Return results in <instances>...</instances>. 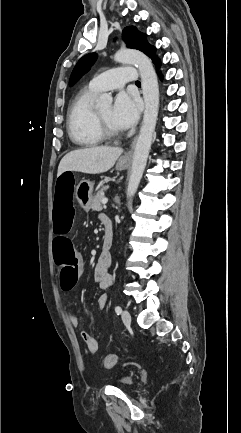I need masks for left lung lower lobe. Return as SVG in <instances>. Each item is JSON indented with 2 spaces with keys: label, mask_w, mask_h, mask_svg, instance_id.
I'll list each match as a JSON object with an SVG mask.
<instances>
[{
  "label": "left lung lower lobe",
  "mask_w": 241,
  "mask_h": 433,
  "mask_svg": "<svg viewBox=\"0 0 241 433\" xmlns=\"http://www.w3.org/2000/svg\"><path fill=\"white\" fill-rule=\"evenodd\" d=\"M158 75H159V78H160V79H162V75H161V74H159V73H158Z\"/></svg>",
  "instance_id": "0a47b994"
}]
</instances>
